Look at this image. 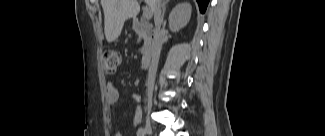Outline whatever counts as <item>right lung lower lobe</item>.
I'll use <instances>...</instances> for the list:
<instances>
[{"label": "right lung lower lobe", "mask_w": 325, "mask_h": 136, "mask_svg": "<svg viewBox=\"0 0 325 136\" xmlns=\"http://www.w3.org/2000/svg\"><path fill=\"white\" fill-rule=\"evenodd\" d=\"M197 2L199 5L200 12L204 13L207 8L209 0H197Z\"/></svg>", "instance_id": "obj_1"}]
</instances>
